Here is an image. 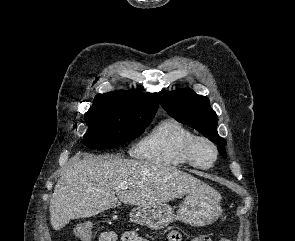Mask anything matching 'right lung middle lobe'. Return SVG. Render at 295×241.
<instances>
[{"label": "right lung middle lobe", "instance_id": "dd1d6c3e", "mask_svg": "<svg viewBox=\"0 0 295 241\" xmlns=\"http://www.w3.org/2000/svg\"><path fill=\"white\" fill-rule=\"evenodd\" d=\"M154 114L104 96H96L85 113L88 126L84 144L90 148H111L139 137Z\"/></svg>", "mask_w": 295, "mask_h": 241}]
</instances>
